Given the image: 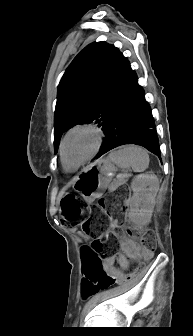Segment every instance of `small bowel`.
Masks as SVG:
<instances>
[{"mask_svg":"<svg viewBox=\"0 0 193 336\" xmlns=\"http://www.w3.org/2000/svg\"><path fill=\"white\" fill-rule=\"evenodd\" d=\"M122 248H123V253L119 255L118 257L113 256V257H109L103 260V268L106 273L113 275V276H119L120 270L115 266L116 261H118L123 268H126L128 266V260L126 258V255H132L135 257L138 256L137 247L135 243L132 242L131 240L123 239ZM83 255H82V267H83V274H84V280H85L84 288L86 290H93V288L87 284L86 274L84 270Z\"/></svg>","mask_w":193,"mask_h":336,"instance_id":"obj_1","label":"small bowel"}]
</instances>
